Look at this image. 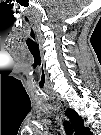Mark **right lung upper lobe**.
<instances>
[{
	"instance_id": "cb5924a9",
	"label": "right lung upper lobe",
	"mask_w": 101,
	"mask_h": 135,
	"mask_svg": "<svg viewBox=\"0 0 101 135\" xmlns=\"http://www.w3.org/2000/svg\"><path fill=\"white\" fill-rule=\"evenodd\" d=\"M65 114L77 135H90L89 129L84 127V120L74 110L67 109Z\"/></svg>"
}]
</instances>
